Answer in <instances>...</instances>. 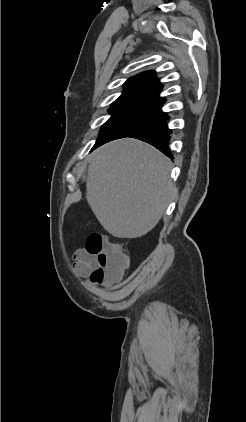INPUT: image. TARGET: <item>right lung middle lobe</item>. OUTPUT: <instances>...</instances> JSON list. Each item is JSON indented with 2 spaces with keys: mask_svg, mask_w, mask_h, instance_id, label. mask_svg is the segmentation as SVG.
Instances as JSON below:
<instances>
[{
  "mask_svg": "<svg viewBox=\"0 0 246 422\" xmlns=\"http://www.w3.org/2000/svg\"><path fill=\"white\" fill-rule=\"evenodd\" d=\"M109 112L112 116L101 127L93 149L111 140L128 137L163 115L161 110L142 108H110Z\"/></svg>",
  "mask_w": 246,
  "mask_h": 422,
  "instance_id": "dd1d6c3e",
  "label": "right lung middle lobe"
}]
</instances>
